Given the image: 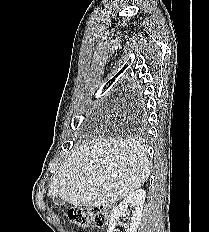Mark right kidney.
Segmentation results:
<instances>
[{"mask_svg": "<svg viewBox=\"0 0 209 232\" xmlns=\"http://www.w3.org/2000/svg\"><path fill=\"white\" fill-rule=\"evenodd\" d=\"M145 196V191L143 189H138L128 195L115 209H113L107 232H116L115 227L119 218L129 214L128 207L130 205L134 206V211L132 212L131 222L125 231L136 232L141 221Z\"/></svg>", "mask_w": 209, "mask_h": 232, "instance_id": "right-kidney-1", "label": "right kidney"}]
</instances>
